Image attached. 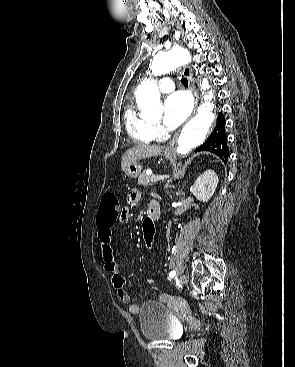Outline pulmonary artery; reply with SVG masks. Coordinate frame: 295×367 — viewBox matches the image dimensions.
I'll return each instance as SVG.
<instances>
[{
    "label": "pulmonary artery",
    "mask_w": 295,
    "mask_h": 367,
    "mask_svg": "<svg viewBox=\"0 0 295 367\" xmlns=\"http://www.w3.org/2000/svg\"><path fill=\"white\" fill-rule=\"evenodd\" d=\"M175 88L174 82L171 78L165 77L159 81V89L163 93H169Z\"/></svg>",
    "instance_id": "1"
}]
</instances>
